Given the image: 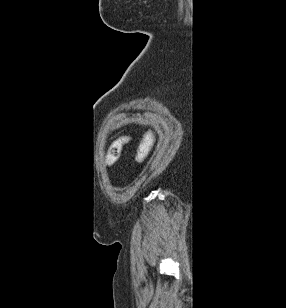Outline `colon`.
I'll return each instance as SVG.
<instances>
[{"instance_id": "colon-1", "label": "colon", "mask_w": 286, "mask_h": 308, "mask_svg": "<svg viewBox=\"0 0 286 308\" xmlns=\"http://www.w3.org/2000/svg\"><path fill=\"white\" fill-rule=\"evenodd\" d=\"M129 142V137L124 136L117 138L109 147L108 153L105 158V163L108 166H111L117 162V160L120 157V153L123 149V147ZM152 148V140L146 139L143 141V143L140 145L137 155H136V161L138 163H143L147 157L150 154Z\"/></svg>"}]
</instances>
